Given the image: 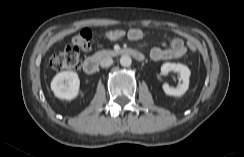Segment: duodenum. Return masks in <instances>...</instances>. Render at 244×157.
Here are the masks:
<instances>
[{"label":"duodenum","mask_w":244,"mask_h":157,"mask_svg":"<svg viewBox=\"0 0 244 157\" xmlns=\"http://www.w3.org/2000/svg\"><path fill=\"white\" fill-rule=\"evenodd\" d=\"M108 56H120V55H129L133 57L137 61H143L144 55L132 48H124V49H117V50H111L108 54ZM83 69L88 74H94L99 69V59L98 57H89L84 60L83 62Z\"/></svg>","instance_id":"obj_1"}]
</instances>
